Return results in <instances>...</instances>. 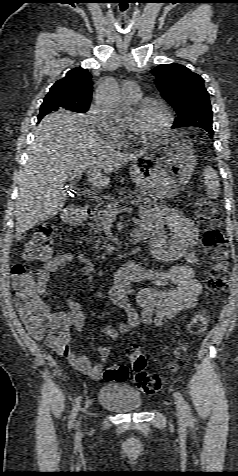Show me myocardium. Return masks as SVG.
I'll list each match as a JSON object with an SVG mask.
<instances>
[{
    "label": "myocardium",
    "mask_w": 238,
    "mask_h": 476,
    "mask_svg": "<svg viewBox=\"0 0 238 476\" xmlns=\"http://www.w3.org/2000/svg\"><path fill=\"white\" fill-rule=\"evenodd\" d=\"M149 106L160 107L165 114V122L160 129L146 136L137 134L129 126H127L132 137L139 142L152 141L161 136H164L165 134L169 132L174 122V115H173L171 107L169 106L168 103L160 99L150 98V99L142 100L134 106V110L139 112Z\"/></svg>",
    "instance_id": "myocardium-1"
}]
</instances>
